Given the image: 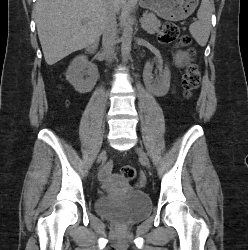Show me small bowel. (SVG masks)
<instances>
[{"label": "small bowel", "mask_w": 248, "mask_h": 250, "mask_svg": "<svg viewBox=\"0 0 248 250\" xmlns=\"http://www.w3.org/2000/svg\"><path fill=\"white\" fill-rule=\"evenodd\" d=\"M174 60H175L176 65L178 67L182 68L188 64L189 57L187 56V54L184 51L179 50L175 53ZM154 88L158 89L157 82H154ZM110 171H111L110 166L105 165L101 171V177L103 179H107L110 175Z\"/></svg>", "instance_id": "c3829d8e"}]
</instances>
